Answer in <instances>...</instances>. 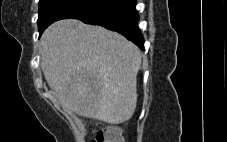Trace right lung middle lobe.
Returning <instances> with one entry per match:
<instances>
[{"label": "right lung middle lobe", "mask_w": 227, "mask_h": 142, "mask_svg": "<svg viewBox=\"0 0 227 142\" xmlns=\"http://www.w3.org/2000/svg\"><path fill=\"white\" fill-rule=\"evenodd\" d=\"M112 0H40L38 27L40 34L51 23L65 18H75L102 8Z\"/></svg>", "instance_id": "obj_1"}]
</instances>
